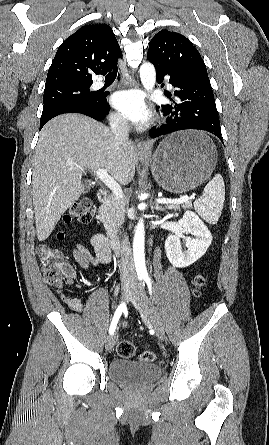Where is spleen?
Here are the masks:
<instances>
[{
	"label": "spleen",
	"mask_w": 269,
	"mask_h": 445,
	"mask_svg": "<svg viewBox=\"0 0 269 445\" xmlns=\"http://www.w3.org/2000/svg\"><path fill=\"white\" fill-rule=\"evenodd\" d=\"M225 201V185L220 174H216L205 186L203 196L194 202V208L209 224H216Z\"/></svg>",
	"instance_id": "3e777b00"
}]
</instances>
